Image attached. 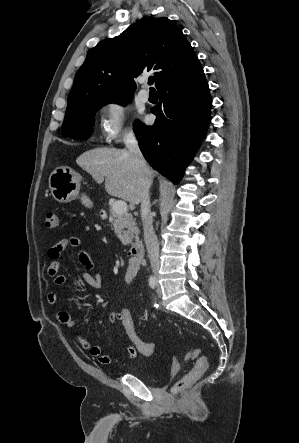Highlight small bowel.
Listing matches in <instances>:
<instances>
[{
    "instance_id": "1",
    "label": "small bowel",
    "mask_w": 299,
    "mask_h": 443,
    "mask_svg": "<svg viewBox=\"0 0 299 443\" xmlns=\"http://www.w3.org/2000/svg\"><path fill=\"white\" fill-rule=\"evenodd\" d=\"M67 247L79 248L78 260L83 266V270L80 272L81 279L87 283L89 286L98 288L101 285V277L98 273L92 274L94 270V263L89 253L82 248V240L79 237L71 236L68 238L61 239L59 242L54 244L48 250V257L51 262L48 266V275L53 278V283L55 286H62L66 282V277L59 273L60 262L59 259ZM139 271V264L129 263L124 280L127 284H130L136 277ZM47 302L50 305H55L58 302V295L55 292H49L47 295ZM56 320L65 325L69 329H74L76 327V321L71 317V315L64 310H58L55 314ZM109 320L112 324H120L119 312H111L109 315ZM121 325V324H120ZM77 341L79 345L86 350L91 356L95 357L99 363L103 365L119 364L124 362L127 358L133 359L136 357L138 350L133 344H130L126 348V353L118 355L116 357L109 356L104 353L103 349L92 344L84 335L78 334Z\"/></svg>"
}]
</instances>
